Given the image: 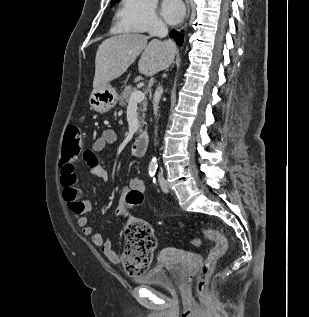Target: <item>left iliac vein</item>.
<instances>
[{"label":"left iliac vein","mask_w":309,"mask_h":317,"mask_svg":"<svg viewBox=\"0 0 309 317\" xmlns=\"http://www.w3.org/2000/svg\"><path fill=\"white\" fill-rule=\"evenodd\" d=\"M158 181H159V184H160L161 189L163 190V192L168 193L169 192V187H168V184H167L165 178L162 175H159Z\"/></svg>","instance_id":"obj_1"}]
</instances>
